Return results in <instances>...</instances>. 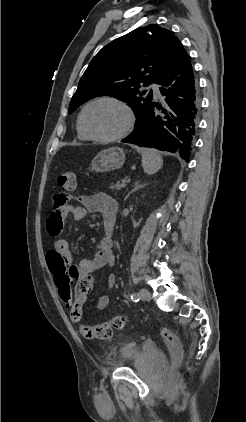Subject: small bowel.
I'll return each mask as SVG.
<instances>
[{"label":"small bowel","instance_id":"1","mask_svg":"<svg viewBox=\"0 0 246 422\" xmlns=\"http://www.w3.org/2000/svg\"><path fill=\"white\" fill-rule=\"evenodd\" d=\"M80 204L68 202V197L62 194L56 195L54 208L47 220V230L51 236H58L62 231L64 220L71 217L74 221L82 220L87 212H99L102 215L104 235L99 241L98 249L91 259H83L78 264H73V254L70 244L66 239H58L54 249L58 251L70 266L73 278L84 275H92L104 266H112L115 262L113 254L112 235L114 231L115 216L117 211L116 201L105 193H97L91 196L78 198ZM116 284V276L110 274L107 278V287L113 288ZM109 303L108 296H101L97 302L99 310L104 309Z\"/></svg>","mask_w":246,"mask_h":422}]
</instances>
